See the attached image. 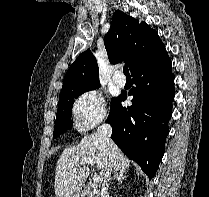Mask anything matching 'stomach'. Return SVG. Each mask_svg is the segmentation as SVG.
<instances>
[{
    "mask_svg": "<svg viewBox=\"0 0 209 197\" xmlns=\"http://www.w3.org/2000/svg\"><path fill=\"white\" fill-rule=\"evenodd\" d=\"M71 197H81L79 192H74Z\"/></svg>",
    "mask_w": 209,
    "mask_h": 197,
    "instance_id": "1",
    "label": "stomach"
}]
</instances>
